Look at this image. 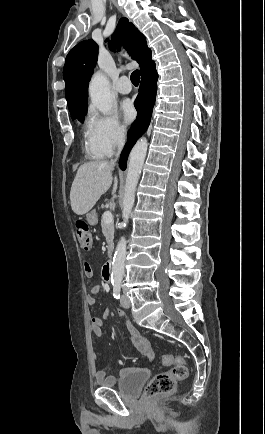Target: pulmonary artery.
<instances>
[{
	"label": "pulmonary artery",
	"mask_w": 265,
	"mask_h": 434,
	"mask_svg": "<svg viewBox=\"0 0 265 434\" xmlns=\"http://www.w3.org/2000/svg\"><path fill=\"white\" fill-rule=\"evenodd\" d=\"M125 80H128V77L122 76L120 81H117V84H116L117 91L121 94H128L131 91L130 81H125Z\"/></svg>",
	"instance_id": "obj_1"
}]
</instances>
